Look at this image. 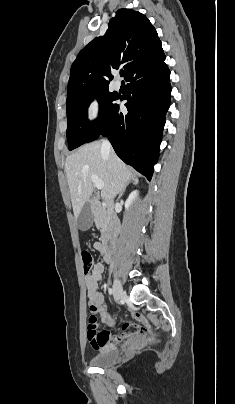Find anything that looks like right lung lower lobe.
I'll list each match as a JSON object with an SVG mask.
<instances>
[{
  "label": "right lung lower lobe",
  "instance_id": "98d812e1",
  "mask_svg": "<svg viewBox=\"0 0 235 404\" xmlns=\"http://www.w3.org/2000/svg\"><path fill=\"white\" fill-rule=\"evenodd\" d=\"M165 56L132 72L125 80L128 113L115 104L87 142L107 136L116 154L151 180L157 163L165 114L170 105V71Z\"/></svg>",
  "mask_w": 235,
  "mask_h": 404
}]
</instances>
